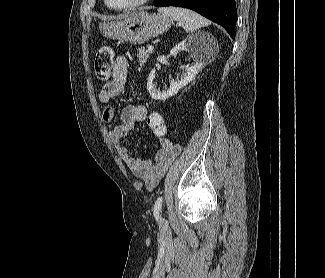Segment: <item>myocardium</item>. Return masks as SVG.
Listing matches in <instances>:
<instances>
[{"mask_svg":"<svg viewBox=\"0 0 325 278\" xmlns=\"http://www.w3.org/2000/svg\"><path fill=\"white\" fill-rule=\"evenodd\" d=\"M106 5L110 8V9H113V10H116V11H124V10H132V9H135V8H138L146 3H148L149 1L151 0H136L135 2L133 3H130V4H127V5H123V6H113L109 3V0H104Z\"/></svg>","mask_w":325,"mask_h":278,"instance_id":"f54148a6","label":"myocardium"}]
</instances>
